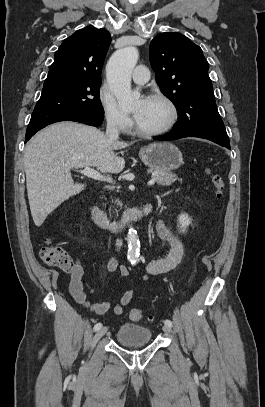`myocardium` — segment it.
Listing matches in <instances>:
<instances>
[{"instance_id": "f54148a6", "label": "myocardium", "mask_w": 265, "mask_h": 407, "mask_svg": "<svg viewBox=\"0 0 265 407\" xmlns=\"http://www.w3.org/2000/svg\"><path fill=\"white\" fill-rule=\"evenodd\" d=\"M147 99H152V100H158L163 102L169 109L170 112V117L168 122L161 128L156 129V130H143L140 129L135 121H133V130L134 132L141 136V137H158L161 135H164L166 133H168L169 131H171L173 129V127L176 125L177 121H178V117H179V111L177 108V105L175 104V102L167 95L163 94V93H152L150 94Z\"/></svg>"}]
</instances>
